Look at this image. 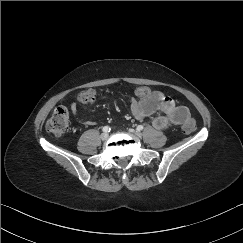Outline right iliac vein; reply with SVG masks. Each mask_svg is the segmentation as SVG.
<instances>
[{
  "instance_id": "obj_1",
  "label": "right iliac vein",
  "mask_w": 243,
  "mask_h": 243,
  "mask_svg": "<svg viewBox=\"0 0 243 243\" xmlns=\"http://www.w3.org/2000/svg\"><path fill=\"white\" fill-rule=\"evenodd\" d=\"M100 137L102 140H106L108 138V133H106V132L102 133Z\"/></svg>"
}]
</instances>
